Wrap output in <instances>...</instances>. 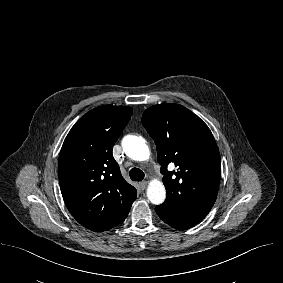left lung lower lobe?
<instances>
[{"label": "left lung lower lobe", "mask_w": 283, "mask_h": 283, "mask_svg": "<svg viewBox=\"0 0 283 283\" xmlns=\"http://www.w3.org/2000/svg\"><path fill=\"white\" fill-rule=\"evenodd\" d=\"M157 214L159 215V217L166 222L168 225L180 229V230H185V229H189L191 227H193L194 225H196L195 223H189V222H184V221H180V220H175L173 218L170 217H166L163 214H161L156 208H155Z\"/></svg>", "instance_id": "1"}]
</instances>
